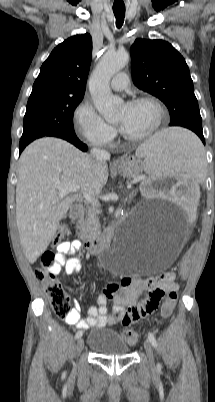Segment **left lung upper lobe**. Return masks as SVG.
I'll return each mask as SVG.
<instances>
[{
  "label": "left lung upper lobe",
  "mask_w": 215,
  "mask_h": 402,
  "mask_svg": "<svg viewBox=\"0 0 215 402\" xmlns=\"http://www.w3.org/2000/svg\"><path fill=\"white\" fill-rule=\"evenodd\" d=\"M134 84L167 106L170 126L202 133V118L193 81L183 56L163 40L136 39L131 46Z\"/></svg>",
  "instance_id": "left-lung-upper-lobe-1"
}]
</instances>
